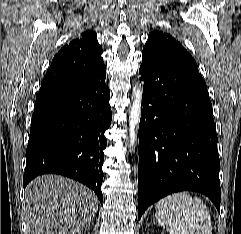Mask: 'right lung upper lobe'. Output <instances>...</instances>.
<instances>
[{"mask_svg":"<svg viewBox=\"0 0 241 234\" xmlns=\"http://www.w3.org/2000/svg\"><path fill=\"white\" fill-rule=\"evenodd\" d=\"M102 52L96 33L83 32L55 55L39 92L72 85L99 73L105 69Z\"/></svg>","mask_w":241,"mask_h":234,"instance_id":"cb5924a9","label":"right lung upper lobe"}]
</instances>
